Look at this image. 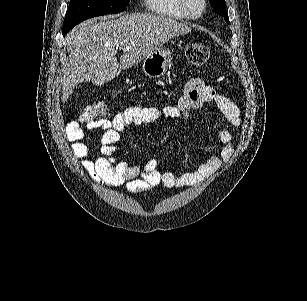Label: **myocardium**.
I'll return each mask as SVG.
<instances>
[{"label": "myocardium", "mask_w": 307, "mask_h": 301, "mask_svg": "<svg viewBox=\"0 0 307 301\" xmlns=\"http://www.w3.org/2000/svg\"><path fill=\"white\" fill-rule=\"evenodd\" d=\"M197 4H191L190 0H179L178 7L180 8L181 17H187L188 22H197L198 16L202 15L203 8L206 6L205 0H197ZM196 9L193 13L191 9ZM179 17V15H176Z\"/></svg>", "instance_id": "1"}]
</instances>
